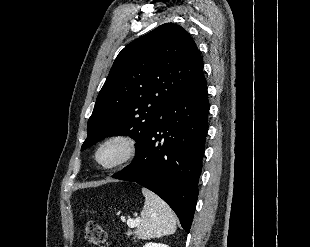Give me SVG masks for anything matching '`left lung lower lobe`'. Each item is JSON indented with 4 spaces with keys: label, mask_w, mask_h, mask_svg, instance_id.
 Segmentation results:
<instances>
[{
    "label": "left lung lower lobe",
    "mask_w": 310,
    "mask_h": 247,
    "mask_svg": "<svg viewBox=\"0 0 310 247\" xmlns=\"http://www.w3.org/2000/svg\"><path fill=\"white\" fill-rule=\"evenodd\" d=\"M203 71L166 107L134 161L112 177L136 182L160 196L189 233L208 131Z\"/></svg>",
    "instance_id": "left-lung-lower-lobe-1"
}]
</instances>
